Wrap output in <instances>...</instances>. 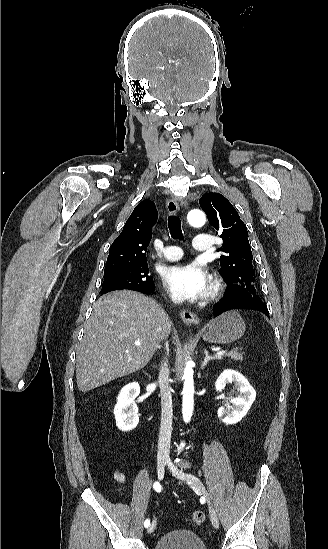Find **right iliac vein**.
<instances>
[{"mask_svg":"<svg viewBox=\"0 0 328 549\" xmlns=\"http://www.w3.org/2000/svg\"><path fill=\"white\" fill-rule=\"evenodd\" d=\"M157 472H158L159 479L162 480L164 478V474H165V462H164V460L159 462L158 467H157ZM155 528H156V520H153L151 525L148 527L147 532L152 533V532H154Z\"/></svg>","mask_w":328,"mask_h":549,"instance_id":"63e3f726","label":"right iliac vein"}]
</instances>
